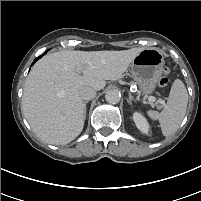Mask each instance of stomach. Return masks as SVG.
Returning a JSON list of instances; mask_svg holds the SVG:
<instances>
[{
    "mask_svg": "<svg viewBox=\"0 0 201 201\" xmlns=\"http://www.w3.org/2000/svg\"><path fill=\"white\" fill-rule=\"evenodd\" d=\"M164 66V57L160 50L143 49L131 62V74L144 94L154 91Z\"/></svg>",
    "mask_w": 201,
    "mask_h": 201,
    "instance_id": "1",
    "label": "stomach"
}]
</instances>
